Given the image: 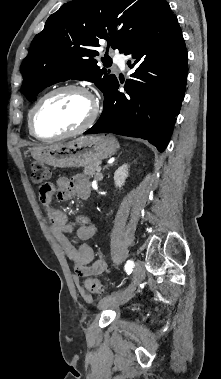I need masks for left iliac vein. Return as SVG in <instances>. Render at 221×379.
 Wrapping results in <instances>:
<instances>
[{"label":"left iliac vein","instance_id":"left-iliac-vein-1","mask_svg":"<svg viewBox=\"0 0 221 379\" xmlns=\"http://www.w3.org/2000/svg\"><path fill=\"white\" fill-rule=\"evenodd\" d=\"M144 278V265L140 260H138L136 262L133 279L129 287L118 294L107 296L101 299L98 303V308L105 309L126 303L132 297L134 290L144 280Z\"/></svg>","mask_w":221,"mask_h":379}]
</instances>
